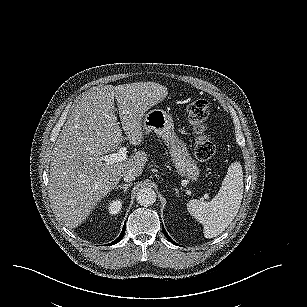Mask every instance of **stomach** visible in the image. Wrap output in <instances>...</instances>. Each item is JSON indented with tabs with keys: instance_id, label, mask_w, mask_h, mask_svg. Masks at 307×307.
Here are the masks:
<instances>
[{
	"instance_id": "obj_1",
	"label": "stomach",
	"mask_w": 307,
	"mask_h": 307,
	"mask_svg": "<svg viewBox=\"0 0 307 307\" xmlns=\"http://www.w3.org/2000/svg\"><path fill=\"white\" fill-rule=\"evenodd\" d=\"M145 134L154 132L161 138L169 150L171 160L177 172L189 180L196 181L199 177L197 162L190 156L186 143L180 139L174 130L171 115L162 109H153L147 112L142 124Z\"/></svg>"
}]
</instances>
